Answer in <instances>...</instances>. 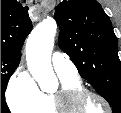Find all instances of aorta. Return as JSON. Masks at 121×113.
<instances>
[{"label": "aorta", "instance_id": "obj_1", "mask_svg": "<svg viewBox=\"0 0 121 113\" xmlns=\"http://www.w3.org/2000/svg\"><path fill=\"white\" fill-rule=\"evenodd\" d=\"M57 25L53 18H46L31 32L26 44L28 69L43 91L57 86V79L51 65Z\"/></svg>", "mask_w": 121, "mask_h": 113}]
</instances>
